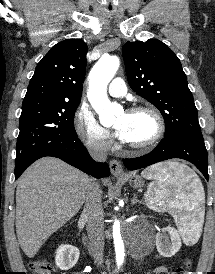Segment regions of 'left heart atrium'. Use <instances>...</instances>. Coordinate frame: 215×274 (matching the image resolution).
Returning a JSON list of instances; mask_svg holds the SVG:
<instances>
[{"mask_svg": "<svg viewBox=\"0 0 215 274\" xmlns=\"http://www.w3.org/2000/svg\"><path fill=\"white\" fill-rule=\"evenodd\" d=\"M124 131H125L124 123H120L115 126V134L121 140H124Z\"/></svg>", "mask_w": 215, "mask_h": 274, "instance_id": "39dd6f15", "label": "left heart atrium"}]
</instances>
